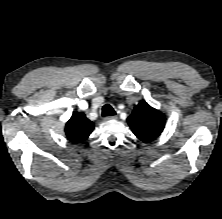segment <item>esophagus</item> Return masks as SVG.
<instances>
[{"instance_id": "34e87169", "label": "esophagus", "mask_w": 222, "mask_h": 219, "mask_svg": "<svg viewBox=\"0 0 222 219\" xmlns=\"http://www.w3.org/2000/svg\"><path fill=\"white\" fill-rule=\"evenodd\" d=\"M106 121L117 120V116H107L104 118Z\"/></svg>"}]
</instances>
